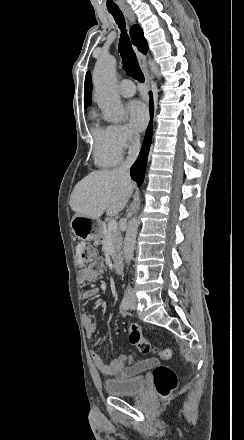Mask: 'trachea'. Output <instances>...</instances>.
I'll return each mask as SVG.
<instances>
[{
    "label": "trachea",
    "instance_id": "3493384b",
    "mask_svg": "<svg viewBox=\"0 0 244 440\" xmlns=\"http://www.w3.org/2000/svg\"><path fill=\"white\" fill-rule=\"evenodd\" d=\"M109 13L113 15L115 22L121 29V36L118 44L119 52L122 57L123 68L127 75L138 80V82H144V75L139 68L137 57L131 46L130 39L125 29V19L119 8H108Z\"/></svg>",
    "mask_w": 244,
    "mask_h": 440
}]
</instances>
